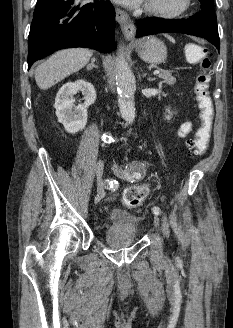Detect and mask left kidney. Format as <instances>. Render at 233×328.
I'll list each match as a JSON object with an SVG mask.
<instances>
[{
    "mask_svg": "<svg viewBox=\"0 0 233 328\" xmlns=\"http://www.w3.org/2000/svg\"><path fill=\"white\" fill-rule=\"evenodd\" d=\"M166 112L168 113V115H166L165 118H166L167 120H170V119H171V115H172L170 109H169V108L166 109Z\"/></svg>",
    "mask_w": 233,
    "mask_h": 328,
    "instance_id": "1",
    "label": "left kidney"
}]
</instances>
